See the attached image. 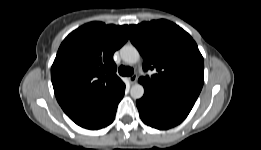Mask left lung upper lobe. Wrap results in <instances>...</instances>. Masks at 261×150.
I'll use <instances>...</instances> for the list:
<instances>
[{
  "instance_id": "5c2ea615",
  "label": "left lung upper lobe",
  "mask_w": 261,
  "mask_h": 150,
  "mask_svg": "<svg viewBox=\"0 0 261 150\" xmlns=\"http://www.w3.org/2000/svg\"><path fill=\"white\" fill-rule=\"evenodd\" d=\"M130 40L143 57L145 89L176 94L196 101L204 83V60L192 37L167 20L130 25Z\"/></svg>"
}]
</instances>
